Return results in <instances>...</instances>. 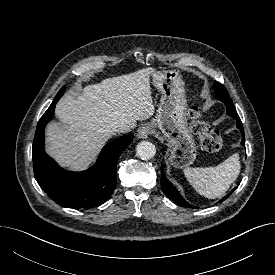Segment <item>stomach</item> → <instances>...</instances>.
<instances>
[{
  "label": "stomach",
  "instance_id": "stomach-1",
  "mask_svg": "<svg viewBox=\"0 0 275 275\" xmlns=\"http://www.w3.org/2000/svg\"><path fill=\"white\" fill-rule=\"evenodd\" d=\"M153 85L161 99L151 126L160 130L171 147L169 161L176 168L191 165L196 158V145L187 122V100L184 82L178 71H154Z\"/></svg>",
  "mask_w": 275,
  "mask_h": 275
}]
</instances>
